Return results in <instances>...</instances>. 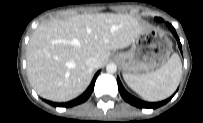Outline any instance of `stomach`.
Instances as JSON below:
<instances>
[{
  "label": "stomach",
  "mask_w": 203,
  "mask_h": 123,
  "mask_svg": "<svg viewBox=\"0 0 203 123\" xmlns=\"http://www.w3.org/2000/svg\"><path fill=\"white\" fill-rule=\"evenodd\" d=\"M172 52V43L162 32L147 29L138 35L126 52L115 54L124 74L139 75L163 66Z\"/></svg>",
  "instance_id": "1"
}]
</instances>
